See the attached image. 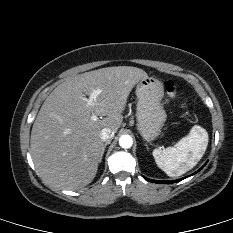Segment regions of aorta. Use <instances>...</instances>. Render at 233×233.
I'll return each instance as SVG.
<instances>
[{
    "label": "aorta",
    "mask_w": 233,
    "mask_h": 233,
    "mask_svg": "<svg viewBox=\"0 0 233 233\" xmlns=\"http://www.w3.org/2000/svg\"><path fill=\"white\" fill-rule=\"evenodd\" d=\"M132 144H133V139L130 135H122L119 138V145L124 149L130 148Z\"/></svg>",
    "instance_id": "1"
}]
</instances>
